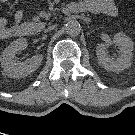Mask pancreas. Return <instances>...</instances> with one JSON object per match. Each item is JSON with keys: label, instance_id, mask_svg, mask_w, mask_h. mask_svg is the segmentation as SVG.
<instances>
[{"label": "pancreas", "instance_id": "obj_1", "mask_svg": "<svg viewBox=\"0 0 135 135\" xmlns=\"http://www.w3.org/2000/svg\"><path fill=\"white\" fill-rule=\"evenodd\" d=\"M22 26L28 27V28H30L31 30L34 29L35 31H39V28H38L37 24H33V23H24V24H22Z\"/></svg>", "mask_w": 135, "mask_h": 135}]
</instances>
